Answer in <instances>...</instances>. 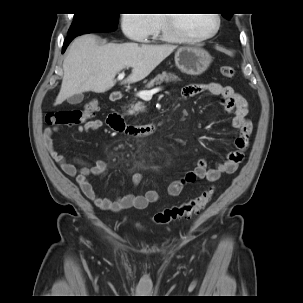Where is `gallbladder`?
<instances>
[{
    "label": "gallbladder",
    "mask_w": 303,
    "mask_h": 303,
    "mask_svg": "<svg viewBox=\"0 0 303 303\" xmlns=\"http://www.w3.org/2000/svg\"><path fill=\"white\" fill-rule=\"evenodd\" d=\"M83 99H84L83 94H76V95L68 98L67 101H68V103L75 105V104L81 103L83 101Z\"/></svg>",
    "instance_id": "1"
}]
</instances>
